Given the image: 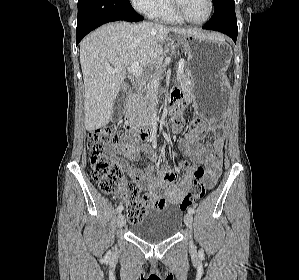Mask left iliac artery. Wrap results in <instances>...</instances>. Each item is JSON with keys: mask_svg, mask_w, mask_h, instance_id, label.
Segmentation results:
<instances>
[{"mask_svg": "<svg viewBox=\"0 0 299 280\" xmlns=\"http://www.w3.org/2000/svg\"><path fill=\"white\" fill-rule=\"evenodd\" d=\"M188 213L193 214L194 213V209L193 208H189L188 209Z\"/></svg>", "mask_w": 299, "mask_h": 280, "instance_id": "1", "label": "left iliac artery"}]
</instances>
